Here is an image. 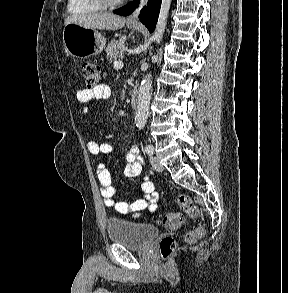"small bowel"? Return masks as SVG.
<instances>
[{"label": "small bowel", "instance_id": "1", "mask_svg": "<svg viewBox=\"0 0 288 293\" xmlns=\"http://www.w3.org/2000/svg\"><path fill=\"white\" fill-rule=\"evenodd\" d=\"M111 95V90L106 84H99L93 89H81L77 92V100L81 104L97 103L107 100ZM86 115L87 107L82 110ZM87 149L92 155H106L114 151L113 145L109 143H97L89 141ZM124 173L127 177L140 176L141 185L138 193L140 198L132 203L119 201L114 199L115 194L120 190L119 187L113 186L111 182V175L105 163L101 162L97 166V176L101 184V195L104 198L105 205L114 209L122 216H138L142 211L148 209L153 212L157 208L158 193L155 191L154 184L150 176L143 172V163L139 156V151L136 146H131L126 155V166Z\"/></svg>", "mask_w": 288, "mask_h": 293}]
</instances>
